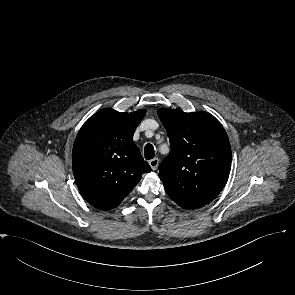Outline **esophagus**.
<instances>
[{
    "instance_id": "34e87169",
    "label": "esophagus",
    "mask_w": 295,
    "mask_h": 295,
    "mask_svg": "<svg viewBox=\"0 0 295 295\" xmlns=\"http://www.w3.org/2000/svg\"><path fill=\"white\" fill-rule=\"evenodd\" d=\"M159 164V159L158 158H154L152 160L149 161V165L151 167L152 170H156Z\"/></svg>"
}]
</instances>
